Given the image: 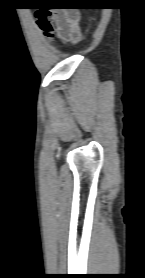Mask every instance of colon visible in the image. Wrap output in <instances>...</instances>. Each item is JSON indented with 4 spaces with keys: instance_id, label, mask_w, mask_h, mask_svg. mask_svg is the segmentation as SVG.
<instances>
[{
    "instance_id": "colon-1",
    "label": "colon",
    "mask_w": 145,
    "mask_h": 278,
    "mask_svg": "<svg viewBox=\"0 0 145 278\" xmlns=\"http://www.w3.org/2000/svg\"><path fill=\"white\" fill-rule=\"evenodd\" d=\"M77 0H63L61 4L52 6H41L35 12L36 21L38 27L41 29L42 33L49 36L55 30L56 20L54 11L58 8L65 11H84L88 8L86 4L76 2ZM77 27L75 20H72L70 24L67 25L68 29L74 30Z\"/></svg>"
}]
</instances>
